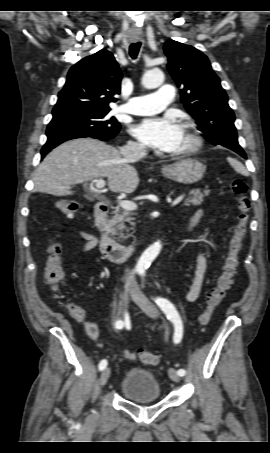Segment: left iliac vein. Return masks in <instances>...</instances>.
<instances>
[{
  "label": "left iliac vein",
  "instance_id": "left-iliac-vein-1",
  "mask_svg": "<svg viewBox=\"0 0 270 453\" xmlns=\"http://www.w3.org/2000/svg\"><path fill=\"white\" fill-rule=\"evenodd\" d=\"M130 294L132 299L139 305V307L151 318H157L159 312L155 305L148 300V298L142 293L139 287L133 283L130 288ZM169 377L174 382L180 381V376L174 368H169L168 370Z\"/></svg>",
  "mask_w": 270,
  "mask_h": 453
}]
</instances>
